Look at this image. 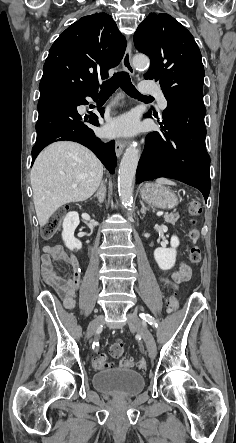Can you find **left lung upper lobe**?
<instances>
[{"instance_id":"left-lung-upper-lobe-1","label":"left lung upper lobe","mask_w":236,"mask_h":443,"mask_svg":"<svg viewBox=\"0 0 236 443\" xmlns=\"http://www.w3.org/2000/svg\"><path fill=\"white\" fill-rule=\"evenodd\" d=\"M134 44L151 60L145 79L159 80L166 99L186 93L203 95L200 50L192 34L172 16L150 13L138 26Z\"/></svg>"}]
</instances>
